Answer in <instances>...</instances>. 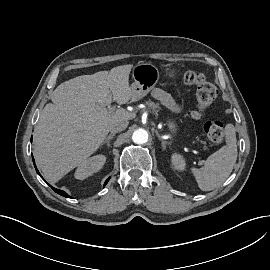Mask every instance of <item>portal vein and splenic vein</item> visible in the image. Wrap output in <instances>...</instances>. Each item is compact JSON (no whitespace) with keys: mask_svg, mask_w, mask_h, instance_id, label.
<instances>
[{"mask_svg":"<svg viewBox=\"0 0 270 270\" xmlns=\"http://www.w3.org/2000/svg\"><path fill=\"white\" fill-rule=\"evenodd\" d=\"M108 109L114 110V107H109ZM199 164H202V161H200Z\"/></svg>","mask_w":270,"mask_h":270,"instance_id":"obj_1","label":"portal vein and splenic vein"}]
</instances>
